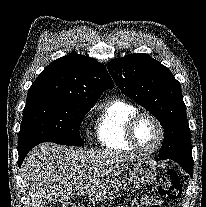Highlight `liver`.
<instances>
[{
  "label": "liver",
  "instance_id": "6515ba94",
  "mask_svg": "<svg viewBox=\"0 0 206 207\" xmlns=\"http://www.w3.org/2000/svg\"><path fill=\"white\" fill-rule=\"evenodd\" d=\"M139 158L109 150L68 148L42 143L22 163V178L30 196V207L64 202L88 195L93 203L107 199L110 182Z\"/></svg>",
  "mask_w": 206,
  "mask_h": 207
}]
</instances>
